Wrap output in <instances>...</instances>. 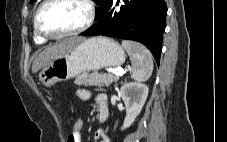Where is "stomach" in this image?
I'll return each instance as SVG.
<instances>
[{"instance_id": "0dacf381", "label": "stomach", "mask_w": 227, "mask_h": 142, "mask_svg": "<svg viewBox=\"0 0 227 142\" xmlns=\"http://www.w3.org/2000/svg\"><path fill=\"white\" fill-rule=\"evenodd\" d=\"M125 58V51L118 42L106 37H92L45 66L39 74V80L44 86L50 87L83 72L120 66Z\"/></svg>"}]
</instances>
